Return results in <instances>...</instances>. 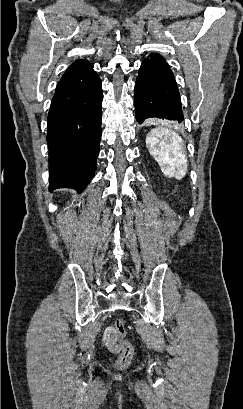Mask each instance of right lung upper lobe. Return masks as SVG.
<instances>
[{"label":"right lung upper lobe","mask_w":243,"mask_h":409,"mask_svg":"<svg viewBox=\"0 0 243 409\" xmlns=\"http://www.w3.org/2000/svg\"><path fill=\"white\" fill-rule=\"evenodd\" d=\"M90 66H92V64H90L86 60H77L67 69V71H70V72L80 71V70L87 69Z\"/></svg>","instance_id":"obj_1"}]
</instances>
